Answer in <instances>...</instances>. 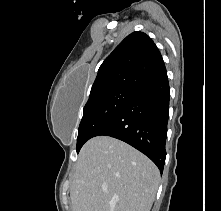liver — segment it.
Listing matches in <instances>:
<instances>
[{
	"instance_id": "6515ba94",
	"label": "liver",
	"mask_w": 221,
	"mask_h": 211,
	"mask_svg": "<svg viewBox=\"0 0 221 211\" xmlns=\"http://www.w3.org/2000/svg\"><path fill=\"white\" fill-rule=\"evenodd\" d=\"M156 165L118 139L98 136L80 150L70 188L73 211H150Z\"/></svg>"
}]
</instances>
